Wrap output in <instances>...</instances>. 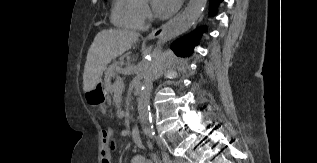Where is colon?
I'll use <instances>...</instances> for the list:
<instances>
[{
	"label": "colon",
	"instance_id": "1",
	"mask_svg": "<svg viewBox=\"0 0 317 163\" xmlns=\"http://www.w3.org/2000/svg\"><path fill=\"white\" fill-rule=\"evenodd\" d=\"M108 143L110 144L111 150H113L114 149V141L111 137L108 139Z\"/></svg>",
	"mask_w": 317,
	"mask_h": 163
}]
</instances>
